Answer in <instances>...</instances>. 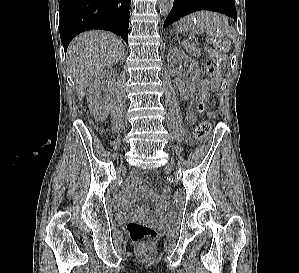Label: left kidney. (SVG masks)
<instances>
[{"instance_id": "left-kidney-1", "label": "left kidney", "mask_w": 299, "mask_h": 273, "mask_svg": "<svg viewBox=\"0 0 299 273\" xmlns=\"http://www.w3.org/2000/svg\"><path fill=\"white\" fill-rule=\"evenodd\" d=\"M178 60H183L186 65V69L188 73L191 75L192 81L190 83L184 84L179 83L178 89L180 92V95L184 98L190 97L192 94H194L196 90V86L199 82L200 78V70L198 69L195 60L180 51L177 48H170L167 56V62H168V68L171 75H177L176 70V62Z\"/></svg>"}]
</instances>
